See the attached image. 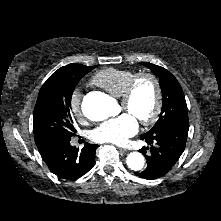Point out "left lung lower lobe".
Returning a JSON list of instances; mask_svg holds the SVG:
<instances>
[{
    "mask_svg": "<svg viewBox=\"0 0 221 221\" xmlns=\"http://www.w3.org/2000/svg\"><path fill=\"white\" fill-rule=\"evenodd\" d=\"M189 130V122L180 121L161 130L148 132L140 136L150 147H143L147 168L135 175L144 179H156L164 176L182 155Z\"/></svg>",
    "mask_w": 221,
    "mask_h": 221,
    "instance_id": "0a47b994",
    "label": "left lung lower lobe"
}]
</instances>
